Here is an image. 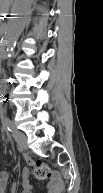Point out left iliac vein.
Wrapping results in <instances>:
<instances>
[{"instance_id": "left-iliac-vein-1", "label": "left iliac vein", "mask_w": 103, "mask_h": 193, "mask_svg": "<svg viewBox=\"0 0 103 193\" xmlns=\"http://www.w3.org/2000/svg\"><path fill=\"white\" fill-rule=\"evenodd\" d=\"M13 137L15 139V141L17 142L18 146L25 150L28 148L27 146V137L25 134H23L22 132L14 129L13 130Z\"/></svg>"}]
</instances>
